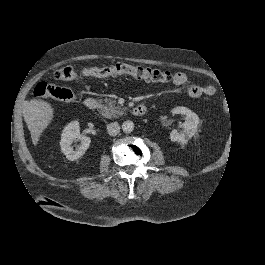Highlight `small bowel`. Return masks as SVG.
<instances>
[{
    "label": "small bowel",
    "instance_id": "small-bowel-1",
    "mask_svg": "<svg viewBox=\"0 0 265 265\" xmlns=\"http://www.w3.org/2000/svg\"><path fill=\"white\" fill-rule=\"evenodd\" d=\"M188 77L185 73L178 72L173 76V83L177 86H183L187 84ZM215 92V87L210 84L198 85L192 84L188 87L187 93L192 98H199L202 95H213Z\"/></svg>",
    "mask_w": 265,
    "mask_h": 265
}]
</instances>
